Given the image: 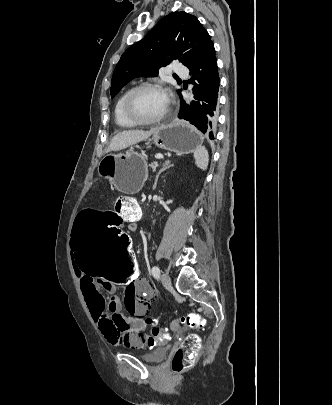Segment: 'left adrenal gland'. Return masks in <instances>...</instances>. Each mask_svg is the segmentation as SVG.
Masks as SVG:
<instances>
[{"label": "left adrenal gland", "instance_id": "a2214340", "mask_svg": "<svg viewBox=\"0 0 332 405\" xmlns=\"http://www.w3.org/2000/svg\"><path fill=\"white\" fill-rule=\"evenodd\" d=\"M172 166H173V164H170V161H169V160H167V161L163 164V167L161 168V170H160V171L158 172V174L156 175L153 189H155L156 186H157V182H158V178H159L160 174H161L162 172H164L166 169H168V168H170V167H172Z\"/></svg>", "mask_w": 332, "mask_h": 405}]
</instances>
